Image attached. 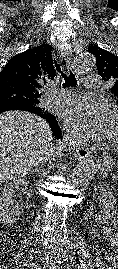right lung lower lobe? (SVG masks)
I'll return each mask as SVG.
<instances>
[{"mask_svg":"<svg viewBox=\"0 0 118 269\" xmlns=\"http://www.w3.org/2000/svg\"><path fill=\"white\" fill-rule=\"evenodd\" d=\"M8 110H23V111H28V112L33 113V110L31 109V107L26 104H22L18 102H9V103L0 104V114ZM54 135L57 138L61 137L59 127L56 129V132L54 133Z\"/></svg>","mask_w":118,"mask_h":269,"instance_id":"right-lung-lower-lobe-1","label":"right lung lower lobe"}]
</instances>
